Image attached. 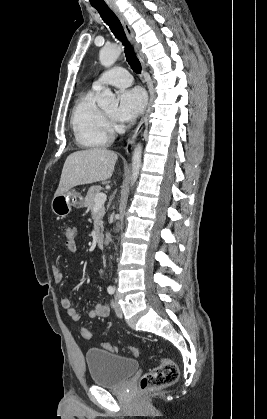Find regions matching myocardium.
<instances>
[{
    "label": "myocardium",
    "instance_id": "myocardium-1",
    "mask_svg": "<svg viewBox=\"0 0 267 419\" xmlns=\"http://www.w3.org/2000/svg\"><path fill=\"white\" fill-rule=\"evenodd\" d=\"M105 117H106V119L109 121V120H112V116L111 115H109L108 113H105Z\"/></svg>",
    "mask_w": 267,
    "mask_h": 419
}]
</instances>
